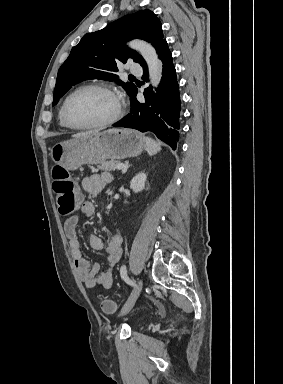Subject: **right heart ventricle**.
Listing matches in <instances>:
<instances>
[{"mask_svg":"<svg viewBox=\"0 0 283 384\" xmlns=\"http://www.w3.org/2000/svg\"><path fill=\"white\" fill-rule=\"evenodd\" d=\"M62 105H63V103L60 105V107H59V109H58V115H57V117H58V123H59L60 127H62V128H66V127L63 125L62 120H61V109H62Z\"/></svg>","mask_w":283,"mask_h":384,"instance_id":"e07e8e85","label":"right heart ventricle"}]
</instances>
